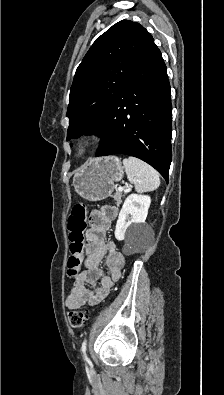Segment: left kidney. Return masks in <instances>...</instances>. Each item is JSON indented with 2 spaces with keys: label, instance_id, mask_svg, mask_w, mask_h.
I'll list each match as a JSON object with an SVG mask.
<instances>
[{
  "label": "left kidney",
  "instance_id": "5707ae66",
  "mask_svg": "<svg viewBox=\"0 0 224 395\" xmlns=\"http://www.w3.org/2000/svg\"><path fill=\"white\" fill-rule=\"evenodd\" d=\"M150 203L151 198L148 195L133 193L126 198L116 223L115 237L117 240H124L127 232L133 234L136 238L143 236L144 228L142 224L145 223L147 218Z\"/></svg>",
  "mask_w": 224,
  "mask_h": 395
}]
</instances>
